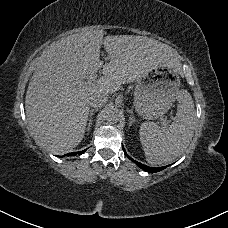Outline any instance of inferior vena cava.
<instances>
[{"mask_svg": "<svg viewBox=\"0 0 228 228\" xmlns=\"http://www.w3.org/2000/svg\"><path fill=\"white\" fill-rule=\"evenodd\" d=\"M109 96L107 94H101L99 92H92L89 95V105L95 109H101L105 106Z\"/></svg>", "mask_w": 228, "mask_h": 228, "instance_id": "602c4592", "label": "inferior vena cava"}]
</instances>
